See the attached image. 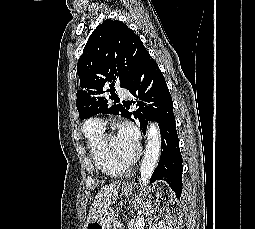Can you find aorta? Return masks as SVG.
Returning a JSON list of instances; mask_svg holds the SVG:
<instances>
[{
  "label": "aorta",
  "instance_id": "obj_1",
  "mask_svg": "<svg viewBox=\"0 0 255 229\" xmlns=\"http://www.w3.org/2000/svg\"><path fill=\"white\" fill-rule=\"evenodd\" d=\"M161 151V136L158 124L151 122L147 131V144L140 166V184L147 186L158 162ZM144 217L135 220L134 229H144Z\"/></svg>",
  "mask_w": 255,
  "mask_h": 229
}]
</instances>
